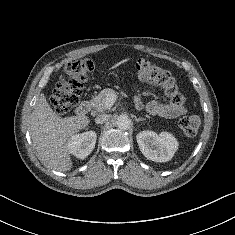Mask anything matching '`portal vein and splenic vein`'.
Returning a JSON list of instances; mask_svg holds the SVG:
<instances>
[{
  "instance_id": "1",
  "label": "portal vein and splenic vein",
  "mask_w": 235,
  "mask_h": 235,
  "mask_svg": "<svg viewBox=\"0 0 235 235\" xmlns=\"http://www.w3.org/2000/svg\"><path fill=\"white\" fill-rule=\"evenodd\" d=\"M117 99L116 94H111L106 98V105L111 108Z\"/></svg>"
}]
</instances>
